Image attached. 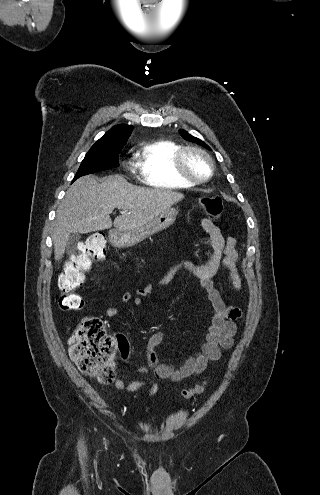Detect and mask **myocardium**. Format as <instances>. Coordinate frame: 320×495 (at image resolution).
<instances>
[{
  "mask_svg": "<svg viewBox=\"0 0 320 495\" xmlns=\"http://www.w3.org/2000/svg\"><path fill=\"white\" fill-rule=\"evenodd\" d=\"M191 152L198 153L208 163L209 171H208V174L206 176H204V177L194 176L186 169L185 158H186V155L188 153H191ZM174 169H175L177 175L180 176L181 178H183L184 180L192 183L193 185L194 184H201V183L208 181L212 177L213 172H214V162H213L212 157L209 155V153L206 150H204L203 148L198 147V146H194V145H188V146L180 147V149L176 153V155L174 157Z\"/></svg>",
  "mask_w": 320,
  "mask_h": 495,
  "instance_id": "obj_1",
  "label": "myocardium"
}]
</instances>
